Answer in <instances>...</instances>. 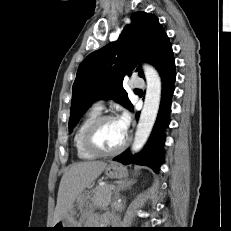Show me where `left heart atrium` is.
Listing matches in <instances>:
<instances>
[{
    "mask_svg": "<svg viewBox=\"0 0 231 231\" xmlns=\"http://www.w3.org/2000/svg\"><path fill=\"white\" fill-rule=\"evenodd\" d=\"M118 125L120 126L121 130L127 134V131L129 129L130 125V118L127 113H123L118 119H117Z\"/></svg>",
    "mask_w": 231,
    "mask_h": 231,
    "instance_id": "39dd6f15",
    "label": "left heart atrium"
}]
</instances>
